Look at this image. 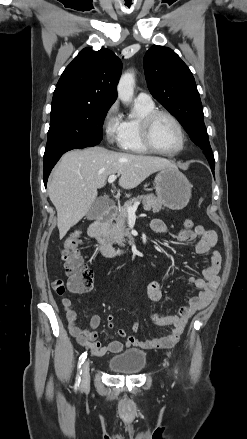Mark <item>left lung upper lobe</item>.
<instances>
[{"instance_id":"left-lung-upper-lobe-1","label":"left lung upper lobe","mask_w":247,"mask_h":439,"mask_svg":"<svg viewBox=\"0 0 247 439\" xmlns=\"http://www.w3.org/2000/svg\"><path fill=\"white\" fill-rule=\"evenodd\" d=\"M144 71L153 97L178 119L214 167L202 103L189 68L170 48L154 45L144 56Z\"/></svg>"}]
</instances>
